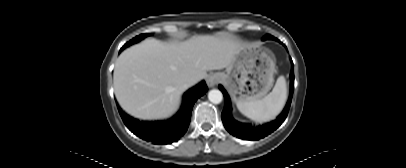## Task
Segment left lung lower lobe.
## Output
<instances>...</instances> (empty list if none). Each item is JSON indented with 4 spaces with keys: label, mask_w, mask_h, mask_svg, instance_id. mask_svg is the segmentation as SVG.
<instances>
[{
    "label": "left lung lower lobe",
    "mask_w": 406,
    "mask_h": 168,
    "mask_svg": "<svg viewBox=\"0 0 406 168\" xmlns=\"http://www.w3.org/2000/svg\"><path fill=\"white\" fill-rule=\"evenodd\" d=\"M291 83H290V95L288 102L282 111V113L277 117L276 120L263 124L261 126H256L252 127L250 124H243L235 119H233L231 115V102L230 98L227 94V92L224 90V88L219 85V89L223 92L224 94V99H225V105H224V110L221 114V118L223 121V124L226 128V130L232 134L233 136H236L238 138L244 139V140H259L261 138H264L265 136L269 135L272 133L274 130H276L286 119L289 108L291 105L292 101V96H293V91H294V68H293V63H292V70H291Z\"/></svg>",
    "instance_id": "0a47b994"
}]
</instances>
